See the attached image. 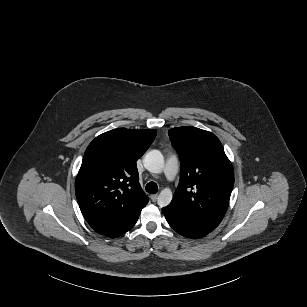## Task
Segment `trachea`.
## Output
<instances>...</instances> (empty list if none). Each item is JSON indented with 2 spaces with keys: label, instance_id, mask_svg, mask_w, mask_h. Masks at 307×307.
I'll return each mask as SVG.
<instances>
[{
  "label": "trachea",
  "instance_id": "3493384b",
  "mask_svg": "<svg viewBox=\"0 0 307 307\" xmlns=\"http://www.w3.org/2000/svg\"><path fill=\"white\" fill-rule=\"evenodd\" d=\"M146 191L150 194H155L158 191V186L155 182H149L146 184Z\"/></svg>",
  "mask_w": 307,
  "mask_h": 307
}]
</instances>
